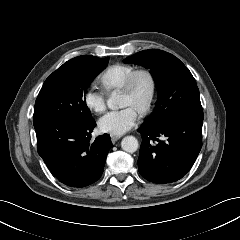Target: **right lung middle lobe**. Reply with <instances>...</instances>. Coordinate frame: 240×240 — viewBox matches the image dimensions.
<instances>
[{"instance_id":"dd1d6c3e","label":"right lung middle lobe","mask_w":240,"mask_h":240,"mask_svg":"<svg viewBox=\"0 0 240 240\" xmlns=\"http://www.w3.org/2000/svg\"><path fill=\"white\" fill-rule=\"evenodd\" d=\"M107 64V59L97 57L89 64L58 68L44 82L33 118L53 117L77 123L93 120L85 93L89 83Z\"/></svg>"}]
</instances>
